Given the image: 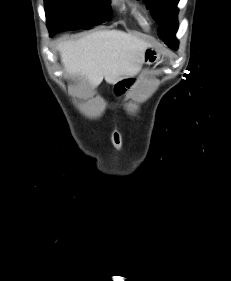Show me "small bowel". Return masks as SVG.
I'll use <instances>...</instances> for the list:
<instances>
[{
  "label": "small bowel",
  "mask_w": 231,
  "mask_h": 281,
  "mask_svg": "<svg viewBox=\"0 0 231 281\" xmlns=\"http://www.w3.org/2000/svg\"><path fill=\"white\" fill-rule=\"evenodd\" d=\"M136 84V78L134 77H124L119 79L114 84V91L117 95L124 94L128 89Z\"/></svg>",
  "instance_id": "obj_1"
}]
</instances>
